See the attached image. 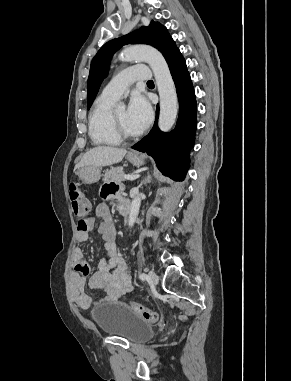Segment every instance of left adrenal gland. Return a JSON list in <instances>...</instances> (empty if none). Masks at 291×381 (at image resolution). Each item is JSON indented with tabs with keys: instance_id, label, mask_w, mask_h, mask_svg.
<instances>
[{
	"instance_id": "left-adrenal-gland-1",
	"label": "left adrenal gland",
	"mask_w": 291,
	"mask_h": 381,
	"mask_svg": "<svg viewBox=\"0 0 291 381\" xmlns=\"http://www.w3.org/2000/svg\"><path fill=\"white\" fill-rule=\"evenodd\" d=\"M146 182H150V176L147 177V179L145 180Z\"/></svg>"
}]
</instances>
